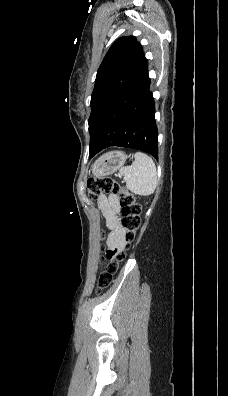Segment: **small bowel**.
Returning a JSON list of instances; mask_svg holds the SVG:
<instances>
[{"mask_svg":"<svg viewBox=\"0 0 228 396\" xmlns=\"http://www.w3.org/2000/svg\"><path fill=\"white\" fill-rule=\"evenodd\" d=\"M102 213L106 219L109 229L107 246L109 248L121 249L125 242L124 231L119 224V205L114 196L100 198Z\"/></svg>","mask_w":228,"mask_h":396,"instance_id":"obj_1","label":"small bowel"}]
</instances>
